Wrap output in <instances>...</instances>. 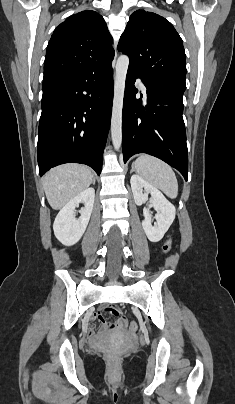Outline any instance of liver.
Wrapping results in <instances>:
<instances>
[{
  "label": "liver",
  "mask_w": 235,
  "mask_h": 404,
  "mask_svg": "<svg viewBox=\"0 0 235 404\" xmlns=\"http://www.w3.org/2000/svg\"><path fill=\"white\" fill-rule=\"evenodd\" d=\"M89 167L68 163L52 168L42 178L49 205L61 209L66 203L87 189L93 181Z\"/></svg>",
  "instance_id": "obj_1"
}]
</instances>
